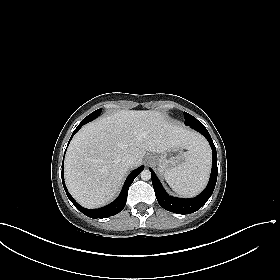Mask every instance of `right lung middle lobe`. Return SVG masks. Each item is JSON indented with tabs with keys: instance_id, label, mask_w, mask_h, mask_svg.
Instances as JSON below:
<instances>
[{
	"instance_id": "dd1d6c3e",
	"label": "right lung middle lobe",
	"mask_w": 280,
	"mask_h": 280,
	"mask_svg": "<svg viewBox=\"0 0 280 280\" xmlns=\"http://www.w3.org/2000/svg\"><path fill=\"white\" fill-rule=\"evenodd\" d=\"M101 113V109H98L94 112H92L90 115H88L85 120H87L88 122L92 121L93 119L97 118L98 115Z\"/></svg>"
}]
</instances>
